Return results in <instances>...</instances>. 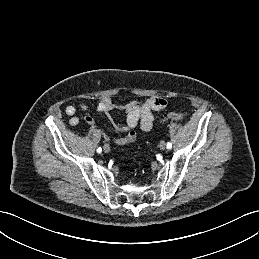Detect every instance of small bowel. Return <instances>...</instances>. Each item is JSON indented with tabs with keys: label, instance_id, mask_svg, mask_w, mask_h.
Listing matches in <instances>:
<instances>
[{
	"label": "small bowel",
	"instance_id": "c3829d8e",
	"mask_svg": "<svg viewBox=\"0 0 259 259\" xmlns=\"http://www.w3.org/2000/svg\"><path fill=\"white\" fill-rule=\"evenodd\" d=\"M166 104L163 98L157 96L146 98L143 101H131L124 105L114 103L109 97H103L97 102L96 110L105 113L109 117H111L110 112L113 110H120L125 114V123L116 124L122 135L114 137L113 141L117 145H126L136 140L135 128L138 125L142 134L152 129L154 112L163 110ZM81 109L85 111L88 106L82 103ZM76 111L77 109L73 105H69L65 109L66 115L69 116L70 125H77L79 122ZM84 119L89 125L95 124V120L91 116H86Z\"/></svg>",
	"mask_w": 259,
	"mask_h": 259
}]
</instances>
